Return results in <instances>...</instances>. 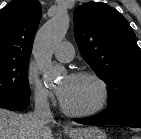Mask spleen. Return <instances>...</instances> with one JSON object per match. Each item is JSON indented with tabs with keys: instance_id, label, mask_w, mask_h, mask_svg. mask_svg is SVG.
Segmentation results:
<instances>
[{
	"instance_id": "3e777b00",
	"label": "spleen",
	"mask_w": 141,
	"mask_h": 139,
	"mask_svg": "<svg viewBox=\"0 0 141 139\" xmlns=\"http://www.w3.org/2000/svg\"><path fill=\"white\" fill-rule=\"evenodd\" d=\"M132 139H140L139 137H137V136H134V137H132Z\"/></svg>"
}]
</instances>
